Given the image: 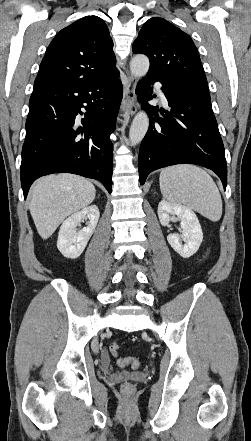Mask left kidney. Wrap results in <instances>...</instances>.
Segmentation results:
<instances>
[{
  "mask_svg": "<svg viewBox=\"0 0 251 441\" xmlns=\"http://www.w3.org/2000/svg\"><path fill=\"white\" fill-rule=\"evenodd\" d=\"M157 212L163 226L168 225L175 216L180 220L182 234H169L167 241L170 246L183 258H189L195 254L203 240L201 225L196 214L187 206L165 200L159 203Z\"/></svg>",
  "mask_w": 251,
  "mask_h": 441,
  "instance_id": "obj_1",
  "label": "left kidney"
}]
</instances>
